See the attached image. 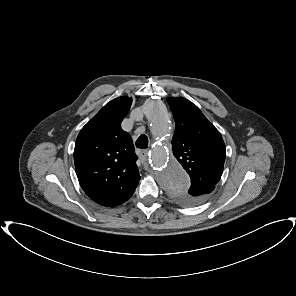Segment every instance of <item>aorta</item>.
I'll list each match as a JSON object with an SVG mask.
<instances>
[{
    "label": "aorta",
    "mask_w": 296,
    "mask_h": 296,
    "mask_svg": "<svg viewBox=\"0 0 296 296\" xmlns=\"http://www.w3.org/2000/svg\"><path fill=\"white\" fill-rule=\"evenodd\" d=\"M143 110L152 128L149 156L158 182L168 192L186 191L190 180L174 157L171 144L173 125L169 112L158 100H148Z\"/></svg>",
    "instance_id": "aorta-1"
}]
</instances>
